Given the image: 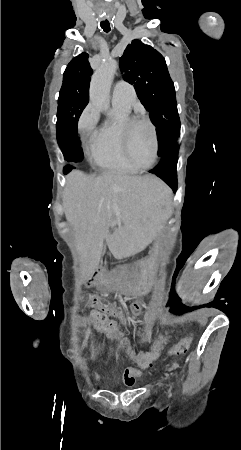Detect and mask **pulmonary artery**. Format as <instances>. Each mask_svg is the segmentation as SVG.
<instances>
[{"mask_svg":"<svg viewBox=\"0 0 241 450\" xmlns=\"http://www.w3.org/2000/svg\"><path fill=\"white\" fill-rule=\"evenodd\" d=\"M124 82H119L112 93V100L113 102H123L131 106L133 99H134V93L132 87L124 83L125 86L123 88H120L119 85Z\"/></svg>","mask_w":241,"mask_h":450,"instance_id":"e3ab8cb5","label":"pulmonary artery"}]
</instances>
